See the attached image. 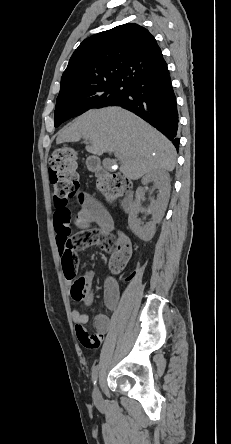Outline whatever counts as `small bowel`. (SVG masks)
Segmentation results:
<instances>
[{
    "instance_id": "small-bowel-1",
    "label": "small bowel",
    "mask_w": 231,
    "mask_h": 444,
    "mask_svg": "<svg viewBox=\"0 0 231 444\" xmlns=\"http://www.w3.org/2000/svg\"><path fill=\"white\" fill-rule=\"evenodd\" d=\"M81 209L76 215H73L68 207V201L55 199L54 211V227L56 233V240L59 247L60 256L62 259V267L65 278L72 283L76 269L67 268L63 264V257L67 252L77 253L79 250L91 246H98L104 251L115 253L122 251L131 254V243L127 236L123 233H117L112 236L114 231V223L112 218L106 212L104 207L91 196L81 193L79 190L76 193ZM92 224L97 225V228L92 229ZM77 226L80 231L76 234L72 232V226ZM92 283V277H89V285ZM75 299V298H74ZM80 300V299H76ZM92 300V293L87 296L85 302L90 304ZM120 300V289L117 281L108 277L105 281L104 301L106 307L114 311ZM72 318L75 323V332L78 340L82 345L88 348H97L103 340V336L107 333L112 325L111 318L103 313L97 314L94 318V326L96 332L91 334L86 328L88 322V315L80 312L78 309H73Z\"/></svg>"
}]
</instances>
